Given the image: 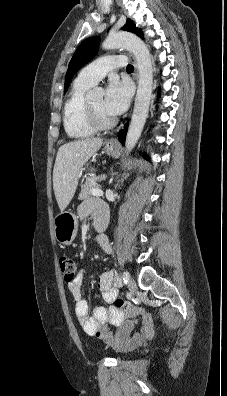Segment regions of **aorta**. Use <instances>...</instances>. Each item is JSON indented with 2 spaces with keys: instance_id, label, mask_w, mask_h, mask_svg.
<instances>
[{
  "instance_id": "1",
  "label": "aorta",
  "mask_w": 227,
  "mask_h": 396,
  "mask_svg": "<svg viewBox=\"0 0 227 396\" xmlns=\"http://www.w3.org/2000/svg\"><path fill=\"white\" fill-rule=\"evenodd\" d=\"M103 49L126 48L135 57L138 76V89L130 126L126 135L125 148L130 152L141 136L152 96L153 66L151 55L146 44L136 35L127 32L111 33L102 44Z\"/></svg>"
}]
</instances>
